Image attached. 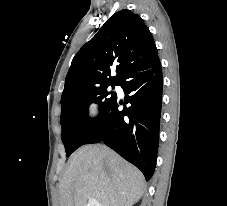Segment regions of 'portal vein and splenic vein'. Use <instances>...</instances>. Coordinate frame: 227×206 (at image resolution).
I'll return each instance as SVG.
<instances>
[{
	"mask_svg": "<svg viewBox=\"0 0 227 206\" xmlns=\"http://www.w3.org/2000/svg\"><path fill=\"white\" fill-rule=\"evenodd\" d=\"M87 206H101L96 199H89Z\"/></svg>",
	"mask_w": 227,
	"mask_h": 206,
	"instance_id": "18ae733b",
	"label": "portal vein and splenic vein"
}]
</instances>
